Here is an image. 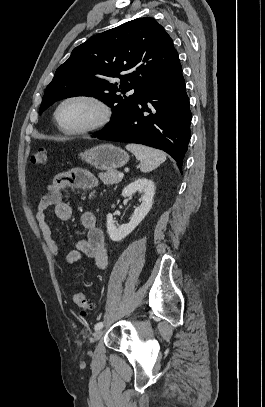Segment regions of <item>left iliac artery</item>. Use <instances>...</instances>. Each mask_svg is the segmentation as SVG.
<instances>
[{
  "mask_svg": "<svg viewBox=\"0 0 265 407\" xmlns=\"http://www.w3.org/2000/svg\"><path fill=\"white\" fill-rule=\"evenodd\" d=\"M102 327H103V322H98V323L95 325L94 329H95V331H97V330H100Z\"/></svg>",
  "mask_w": 265,
  "mask_h": 407,
  "instance_id": "left-iliac-artery-1",
  "label": "left iliac artery"
}]
</instances>
